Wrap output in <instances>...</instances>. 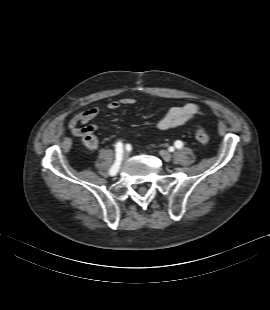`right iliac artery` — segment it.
<instances>
[{"label": "right iliac artery", "instance_id": "obj_1", "mask_svg": "<svg viewBox=\"0 0 270 310\" xmlns=\"http://www.w3.org/2000/svg\"><path fill=\"white\" fill-rule=\"evenodd\" d=\"M115 147H116V160H115V163L113 164V166L111 167V169L109 171V174L111 176H114L118 172V169H119V166H120V163L122 160V154H123L122 142H120V141L117 142Z\"/></svg>", "mask_w": 270, "mask_h": 310}]
</instances>
